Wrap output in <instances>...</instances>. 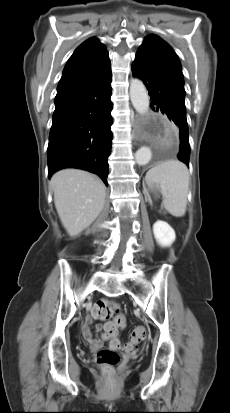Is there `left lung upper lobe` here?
<instances>
[{
    "label": "left lung upper lobe",
    "mask_w": 230,
    "mask_h": 413,
    "mask_svg": "<svg viewBox=\"0 0 230 413\" xmlns=\"http://www.w3.org/2000/svg\"><path fill=\"white\" fill-rule=\"evenodd\" d=\"M138 51H144L156 57L183 81L182 67L177 54L171 46L159 36L155 34L148 35Z\"/></svg>",
    "instance_id": "1"
}]
</instances>
